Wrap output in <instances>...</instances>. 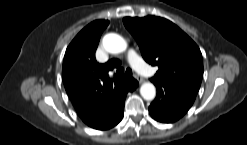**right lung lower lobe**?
I'll use <instances>...</instances> for the list:
<instances>
[{
  "mask_svg": "<svg viewBox=\"0 0 247 145\" xmlns=\"http://www.w3.org/2000/svg\"><path fill=\"white\" fill-rule=\"evenodd\" d=\"M137 86L138 82L134 78L128 79L123 84L113 109L98 116L90 123H87V125L97 130H106L116 126L122 120L127 93L134 91Z\"/></svg>",
  "mask_w": 247,
  "mask_h": 145,
  "instance_id": "98d812e1",
  "label": "right lung lower lobe"
}]
</instances>
